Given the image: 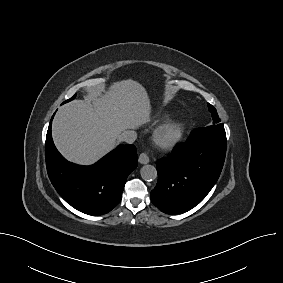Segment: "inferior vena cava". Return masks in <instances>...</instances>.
Masks as SVG:
<instances>
[{"label":"inferior vena cava","mask_w":283,"mask_h":283,"mask_svg":"<svg viewBox=\"0 0 283 283\" xmlns=\"http://www.w3.org/2000/svg\"><path fill=\"white\" fill-rule=\"evenodd\" d=\"M136 138H137V134L133 130H125L118 137L119 141H123L126 143H133L136 140Z\"/></svg>","instance_id":"obj_1"}]
</instances>
